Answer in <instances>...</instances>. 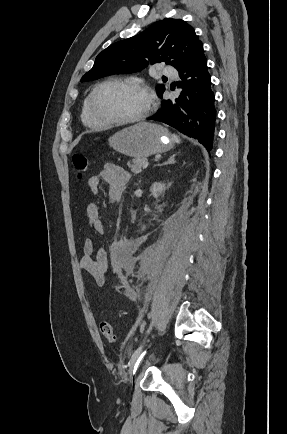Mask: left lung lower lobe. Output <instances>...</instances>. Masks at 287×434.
I'll list each match as a JSON object with an SVG mask.
<instances>
[{"mask_svg": "<svg viewBox=\"0 0 287 434\" xmlns=\"http://www.w3.org/2000/svg\"><path fill=\"white\" fill-rule=\"evenodd\" d=\"M182 92L175 100H163L161 109L148 120L166 123L198 140L208 151L215 138L216 110L211 77L204 53L178 69Z\"/></svg>", "mask_w": 287, "mask_h": 434, "instance_id": "0a47b994", "label": "left lung lower lobe"}]
</instances>
